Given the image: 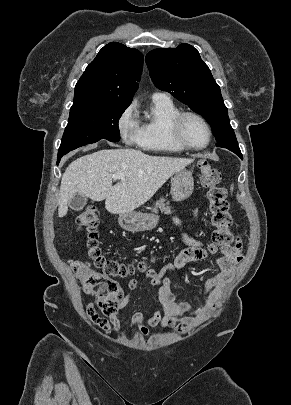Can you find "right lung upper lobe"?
Returning a JSON list of instances; mask_svg holds the SVG:
<instances>
[{"label": "right lung upper lobe", "instance_id": "obj_1", "mask_svg": "<svg viewBox=\"0 0 291 405\" xmlns=\"http://www.w3.org/2000/svg\"><path fill=\"white\" fill-rule=\"evenodd\" d=\"M143 55L117 42L105 45L75 86L73 105L118 103L130 105L138 88Z\"/></svg>", "mask_w": 291, "mask_h": 405}]
</instances>
